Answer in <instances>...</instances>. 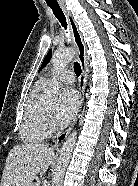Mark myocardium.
Returning a JSON list of instances; mask_svg holds the SVG:
<instances>
[{
	"mask_svg": "<svg viewBox=\"0 0 138 186\" xmlns=\"http://www.w3.org/2000/svg\"><path fill=\"white\" fill-rule=\"evenodd\" d=\"M46 121H47L48 125L52 124V116H51L50 112H48V111L46 113Z\"/></svg>",
	"mask_w": 138,
	"mask_h": 186,
	"instance_id": "f54148a6",
	"label": "myocardium"
}]
</instances>
